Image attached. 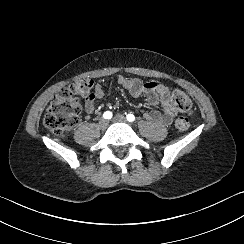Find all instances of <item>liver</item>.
<instances>
[{"label": "liver", "instance_id": "obj_1", "mask_svg": "<svg viewBox=\"0 0 244 244\" xmlns=\"http://www.w3.org/2000/svg\"><path fill=\"white\" fill-rule=\"evenodd\" d=\"M43 126H44V127H46V124H45V122H43Z\"/></svg>", "mask_w": 244, "mask_h": 244}]
</instances>
